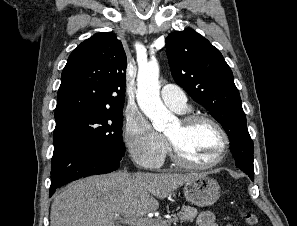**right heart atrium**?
Wrapping results in <instances>:
<instances>
[{
	"instance_id": "d8ad5b80",
	"label": "right heart atrium",
	"mask_w": 297,
	"mask_h": 226,
	"mask_svg": "<svg viewBox=\"0 0 297 226\" xmlns=\"http://www.w3.org/2000/svg\"><path fill=\"white\" fill-rule=\"evenodd\" d=\"M123 137L130 157L140 166L153 169L164 160L167 142L141 113L128 115Z\"/></svg>"
}]
</instances>
